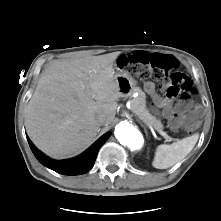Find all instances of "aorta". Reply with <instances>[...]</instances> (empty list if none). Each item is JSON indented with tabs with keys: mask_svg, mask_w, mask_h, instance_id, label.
Returning a JSON list of instances; mask_svg holds the SVG:
<instances>
[{
	"mask_svg": "<svg viewBox=\"0 0 221 221\" xmlns=\"http://www.w3.org/2000/svg\"><path fill=\"white\" fill-rule=\"evenodd\" d=\"M115 137L119 142L132 150L140 149L143 145V136L139 130L128 122H120L115 128Z\"/></svg>",
	"mask_w": 221,
	"mask_h": 221,
	"instance_id": "1",
	"label": "aorta"
}]
</instances>
